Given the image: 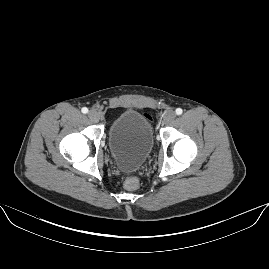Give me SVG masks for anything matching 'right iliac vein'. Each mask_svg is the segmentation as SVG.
Segmentation results:
<instances>
[{
    "label": "right iliac vein",
    "mask_w": 269,
    "mask_h": 269,
    "mask_svg": "<svg viewBox=\"0 0 269 269\" xmlns=\"http://www.w3.org/2000/svg\"><path fill=\"white\" fill-rule=\"evenodd\" d=\"M88 117L93 122H98L99 121V113L96 110H90L88 112Z\"/></svg>",
    "instance_id": "63e3f726"
}]
</instances>
